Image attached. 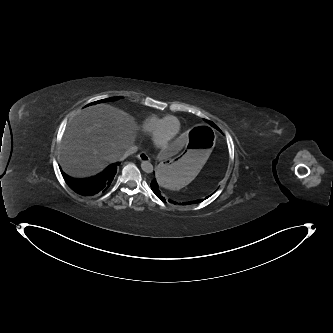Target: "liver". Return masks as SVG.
<instances>
[{"mask_svg": "<svg viewBox=\"0 0 333 333\" xmlns=\"http://www.w3.org/2000/svg\"><path fill=\"white\" fill-rule=\"evenodd\" d=\"M137 130L133 117L108 104L79 111L69 122L60 147L64 172L79 178L97 174L133 146ZM186 146L187 139L177 136L159 150V157L169 160Z\"/></svg>", "mask_w": 333, "mask_h": 333, "instance_id": "1", "label": "liver"}]
</instances>
